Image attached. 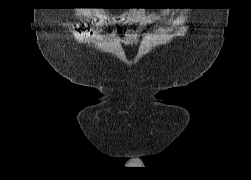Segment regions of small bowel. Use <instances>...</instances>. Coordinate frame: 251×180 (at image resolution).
Here are the masks:
<instances>
[{
  "mask_svg": "<svg viewBox=\"0 0 251 180\" xmlns=\"http://www.w3.org/2000/svg\"><path fill=\"white\" fill-rule=\"evenodd\" d=\"M98 17V23L100 25H110L114 23L146 25L158 20V16L156 14L148 13L142 10L128 11L120 15L99 13ZM137 39L138 35L134 30L127 31L124 37L125 42L128 43H133L137 41Z\"/></svg>",
  "mask_w": 251,
  "mask_h": 180,
  "instance_id": "small-bowel-1",
  "label": "small bowel"
}]
</instances>
